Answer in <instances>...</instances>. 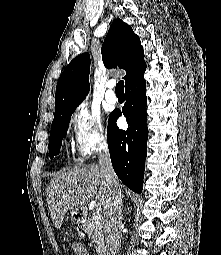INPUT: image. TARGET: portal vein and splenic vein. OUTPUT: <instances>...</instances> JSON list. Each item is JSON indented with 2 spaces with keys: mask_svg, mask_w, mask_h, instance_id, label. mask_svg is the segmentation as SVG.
<instances>
[{
  "mask_svg": "<svg viewBox=\"0 0 221 255\" xmlns=\"http://www.w3.org/2000/svg\"><path fill=\"white\" fill-rule=\"evenodd\" d=\"M94 211H95L96 213H99V212L101 211V206H100L99 203H96V204L94 205Z\"/></svg>",
  "mask_w": 221,
  "mask_h": 255,
  "instance_id": "obj_1",
  "label": "portal vein and splenic vein"
}]
</instances>
